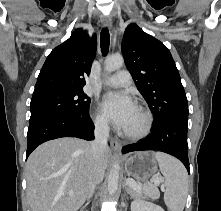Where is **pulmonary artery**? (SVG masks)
<instances>
[{"label":"pulmonary artery","instance_id":"1","mask_svg":"<svg viewBox=\"0 0 221 211\" xmlns=\"http://www.w3.org/2000/svg\"><path fill=\"white\" fill-rule=\"evenodd\" d=\"M105 84L111 87H126L131 84V75L127 70L118 71L113 76L109 77Z\"/></svg>","mask_w":221,"mask_h":211}]
</instances>
